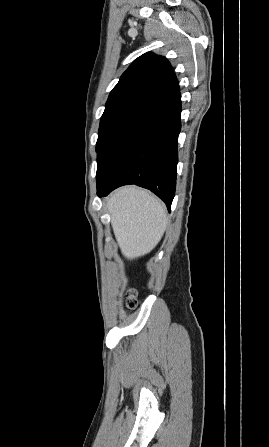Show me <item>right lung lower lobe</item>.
Instances as JSON below:
<instances>
[{"label": "right lung lower lobe", "mask_w": 269, "mask_h": 447, "mask_svg": "<svg viewBox=\"0 0 269 447\" xmlns=\"http://www.w3.org/2000/svg\"><path fill=\"white\" fill-rule=\"evenodd\" d=\"M178 84L127 115L97 158V194L136 184L160 197L170 211L175 194L177 139L181 128Z\"/></svg>", "instance_id": "98d812e1"}]
</instances>
